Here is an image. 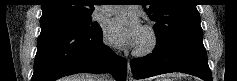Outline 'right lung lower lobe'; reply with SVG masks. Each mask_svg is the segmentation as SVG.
<instances>
[{
  "instance_id": "right-lung-lower-lobe-1",
  "label": "right lung lower lobe",
  "mask_w": 237,
  "mask_h": 81,
  "mask_svg": "<svg viewBox=\"0 0 237 81\" xmlns=\"http://www.w3.org/2000/svg\"><path fill=\"white\" fill-rule=\"evenodd\" d=\"M126 59L102 43V30L84 33L69 28H41L31 81H54L75 73H111L126 80Z\"/></svg>"
}]
</instances>
